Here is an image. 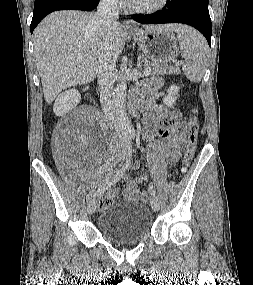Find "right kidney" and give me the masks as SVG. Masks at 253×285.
Instances as JSON below:
<instances>
[{
  "label": "right kidney",
  "instance_id": "ca27d5eb",
  "mask_svg": "<svg viewBox=\"0 0 253 285\" xmlns=\"http://www.w3.org/2000/svg\"><path fill=\"white\" fill-rule=\"evenodd\" d=\"M81 99V95L78 91L74 89L67 90L60 95L55 100L53 111L58 116H63L72 110Z\"/></svg>",
  "mask_w": 253,
  "mask_h": 285
}]
</instances>
